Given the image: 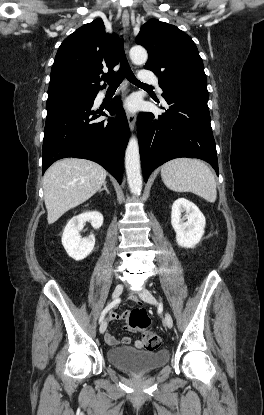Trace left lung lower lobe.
Segmentation results:
<instances>
[{
    "mask_svg": "<svg viewBox=\"0 0 264 415\" xmlns=\"http://www.w3.org/2000/svg\"><path fill=\"white\" fill-rule=\"evenodd\" d=\"M169 108L161 115L141 112L138 139L145 182L163 163L179 157L199 158L219 174L216 145L207 105L208 94L177 92L164 96Z\"/></svg>",
    "mask_w": 264,
    "mask_h": 415,
    "instance_id": "obj_1",
    "label": "left lung lower lobe"
}]
</instances>
